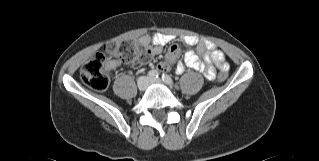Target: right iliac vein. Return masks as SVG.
<instances>
[{
	"label": "right iliac vein",
	"instance_id": "63e3f726",
	"mask_svg": "<svg viewBox=\"0 0 319 161\" xmlns=\"http://www.w3.org/2000/svg\"><path fill=\"white\" fill-rule=\"evenodd\" d=\"M137 86H138V89L140 91L146 90V88L148 87V78L147 77H140L138 79Z\"/></svg>",
	"mask_w": 319,
	"mask_h": 161
}]
</instances>
